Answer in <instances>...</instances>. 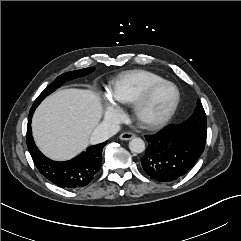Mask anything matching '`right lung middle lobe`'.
Returning <instances> with one entry per match:
<instances>
[{
    "mask_svg": "<svg viewBox=\"0 0 241 241\" xmlns=\"http://www.w3.org/2000/svg\"><path fill=\"white\" fill-rule=\"evenodd\" d=\"M95 70L94 67H89V68H85V69H81V70H76V71H71V72H67L64 73L60 76H58L55 81L50 84L39 96L38 98L35 100L33 107H37L40 102L46 97L48 96L50 93H52L53 91H55L57 88H59L64 82L70 80V79H74V78H78V77H83L91 72H93Z\"/></svg>",
    "mask_w": 241,
    "mask_h": 241,
    "instance_id": "right-lung-middle-lobe-1",
    "label": "right lung middle lobe"
}]
</instances>
